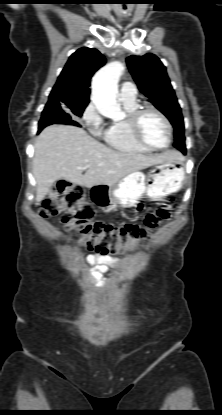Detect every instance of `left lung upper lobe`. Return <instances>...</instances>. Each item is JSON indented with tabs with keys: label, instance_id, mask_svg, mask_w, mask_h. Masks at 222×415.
Masks as SVG:
<instances>
[{
	"label": "left lung upper lobe",
	"instance_id": "1",
	"mask_svg": "<svg viewBox=\"0 0 222 415\" xmlns=\"http://www.w3.org/2000/svg\"><path fill=\"white\" fill-rule=\"evenodd\" d=\"M139 90L150 99L174 127V147L185 151L184 122L181 108L170 83L165 66L154 54L129 56L126 59Z\"/></svg>",
	"mask_w": 222,
	"mask_h": 415
}]
</instances>
